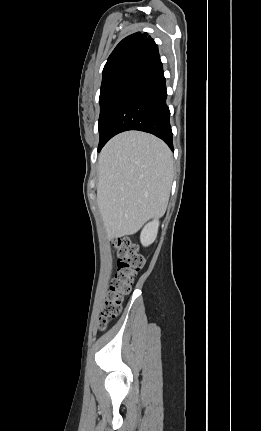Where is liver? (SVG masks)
I'll return each mask as SVG.
<instances>
[{"mask_svg": "<svg viewBox=\"0 0 261 431\" xmlns=\"http://www.w3.org/2000/svg\"><path fill=\"white\" fill-rule=\"evenodd\" d=\"M173 156L157 137L126 131L113 137L98 161L97 203L108 239L135 234L167 208Z\"/></svg>", "mask_w": 261, "mask_h": 431, "instance_id": "6515ba94", "label": "liver"}]
</instances>
